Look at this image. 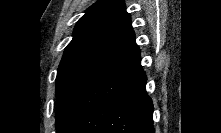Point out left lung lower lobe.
<instances>
[{
	"label": "left lung lower lobe",
	"instance_id": "obj_1",
	"mask_svg": "<svg viewBox=\"0 0 221 133\" xmlns=\"http://www.w3.org/2000/svg\"><path fill=\"white\" fill-rule=\"evenodd\" d=\"M146 80L135 47L82 91L57 133H154Z\"/></svg>",
	"mask_w": 221,
	"mask_h": 133
}]
</instances>
